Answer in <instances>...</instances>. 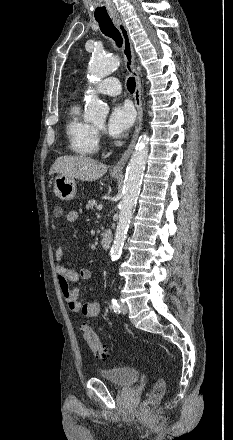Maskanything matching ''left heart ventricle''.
<instances>
[{
	"mask_svg": "<svg viewBox=\"0 0 233 440\" xmlns=\"http://www.w3.org/2000/svg\"><path fill=\"white\" fill-rule=\"evenodd\" d=\"M96 126H97V127H99V128H103V126H104V123H103V122H101V123H98V124H96Z\"/></svg>",
	"mask_w": 233,
	"mask_h": 440,
	"instance_id": "b2bd125f",
	"label": "left heart ventricle"
}]
</instances>
